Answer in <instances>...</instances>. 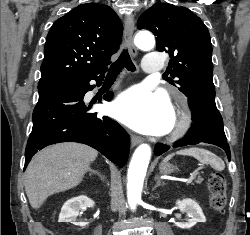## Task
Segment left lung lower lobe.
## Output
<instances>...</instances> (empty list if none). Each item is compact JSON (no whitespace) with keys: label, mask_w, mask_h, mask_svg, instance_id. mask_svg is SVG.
<instances>
[{"label":"left lung lower lobe","mask_w":250,"mask_h":235,"mask_svg":"<svg viewBox=\"0 0 250 235\" xmlns=\"http://www.w3.org/2000/svg\"><path fill=\"white\" fill-rule=\"evenodd\" d=\"M192 109L193 127L189 130L190 137L185 141H179L174 148L198 144L200 142L211 143L225 150L228 160L231 158L230 148L223 129V120L215 104V90L194 92L188 96ZM168 147L163 144L155 146V155L166 152Z\"/></svg>","instance_id":"obj_1"}]
</instances>
